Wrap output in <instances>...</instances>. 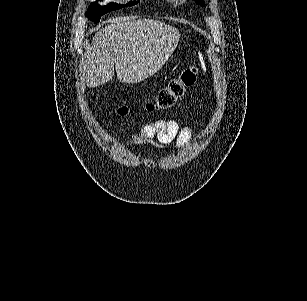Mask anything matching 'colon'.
<instances>
[{
    "label": "colon",
    "mask_w": 307,
    "mask_h": 301,
    "mask_svg": "<svg viewBox=\"0 0 307 301\" xmlns=\"http://www.w3.org/2000/svg\"><path fill=\"white\" fill-rule=\"evenodd\" d=\"M196 79V67H188L182 70L158 91L155 99L147 103L146 108L152 111L171 108L185 94L186 90L195 84ZM117 111L120 115H125L128 109L121 107Z\"/></svg>",
    "instance_id": "colon-1"
}]
</instances>
